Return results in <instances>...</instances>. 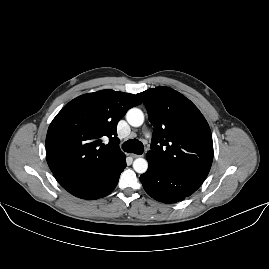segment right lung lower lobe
Returning <instances> with one entry per match:
<instances>
[{
    "label": "right lung lower lobe",
    "mask_w": 269,
    "mask_h": 269,
    "mask_svg": "<svg viewBox=\"0 0 269 269\" xmlns=\"http://www.w3.org/2000/svg\"><path fill=\"white\" fill-rule=\"evenodd\" d=\"M126 167L125 155L122 153L97 168H83L55 176L59 184L72 195L92 200L111 193Z\"/></svg>",
    "instance_id": "98d812e1"
}]
</instances>
